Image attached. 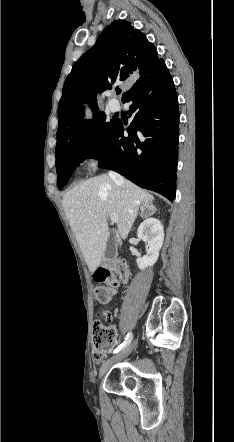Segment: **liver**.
Returning <instances> with one entry per match:
<instances>
[{
	"label": "liver",
	"instance_id": "obj_1",
	"mask_svg": "<svg viewBox=\"0 0 234 442\" xmlns=\"http://www.w3.org/2000/svg\"><path fill=\"white\" fill-rule=\"evenodd\" d=\"M154 197L130 181L115 183L109 175L90 178L64 194L62 206L91 273L101 264L108 238V217H118L116 246L122 245L138 215L139 206Z\"/></svg>",
	"mask_w": 234,
	"mask_h": 442
}]
</instances>
